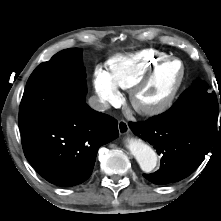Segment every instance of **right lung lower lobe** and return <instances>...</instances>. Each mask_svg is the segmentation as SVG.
<instances>
[{"label": "right lung lower lobe", "mask_w": 221, "mask_h": 221, "mask_svg": "<svg viewBox=\"0 0 221 221\" xmlns=\"http://www.w3.org/2000/svg\"><path fill=\"white\" fill-rule=\"evenodd\" d=\"M86 96L48 122L21 131L25 157L48 182L71 187L87 180L98 149L118 137V122L86 104Z\"/></svg>", "instance_id": "98d812e1"}]
</instances>
